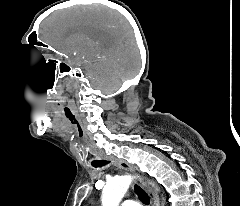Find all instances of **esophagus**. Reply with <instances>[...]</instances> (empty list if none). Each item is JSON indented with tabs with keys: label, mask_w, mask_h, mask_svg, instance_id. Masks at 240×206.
Returning a JSON list of instances; mask_svg holds the SVG:
<instances>
[{
	"label": "esophagus",
	"mask_w": 240,
	"mask_h": 206,
	"mask_svg": "<svg viewBox=\"0 0 240 206\" xmlns=\"http://www.w3.org/2000/svg\"><path fill=\"white\" fill-rule=\"evenodd\" d=\"M104 160L110 161L113 164L118 165L120 168L129 171L131 173H135L136 172V168L129 164L128 162L124 161V160H120L114 157H104ZM141 187L146 191L150 202H151V206H160V201H159V197L158 195L149 187L147 186L143 181H139Z\"/></svg>",
	"instance_id": "obj_1"
}]
</instances>
